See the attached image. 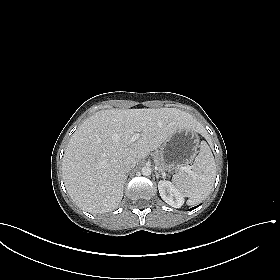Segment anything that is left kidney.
Segmentation results:
<instances>
[{"instance_id":"obj_1","label":"left kidney","mask_w":280,"mask_h":280,"mask_svg":"<svg viewBox=\"0 0 280 280\" xmlns=\"http://www.w3.org/2000/svg\"><path fill=\"white\" fill-rule=\"evenodd\" d=\"M158 190L161 198L170 206L180 208L183 205L184 199L181 193L170 181H159Z\"/></svg>"}]
</instances>
